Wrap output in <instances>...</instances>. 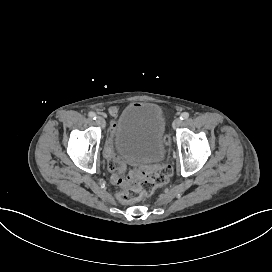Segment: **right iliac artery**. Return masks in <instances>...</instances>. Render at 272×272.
<instances>
[{
    "mask_svg": "<svg viewBox=\"0 0 272 272\" xmlns=\"http://www.w3.org/2000/svg\"><path fill=\"white\" fill-rule=\"evenodd\" d=\"M89 117L96 120L97 116L94 112H89Z\"/></svg>",
    "mask_w": 272,
    "mask_h": 272,
    "instance_id": "1",
    "label": "right iliac artery"
}]
</instances>
